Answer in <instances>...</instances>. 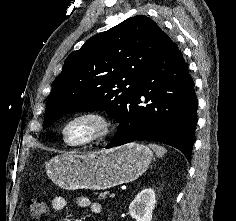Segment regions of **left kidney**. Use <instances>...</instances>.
Masks as SVG:
<instances>
[{
    "label": "left kidney",
    "instance_id": "left-kidney-1",
    "mask_svg": "<svg viewBox=\"0 0 236 221\" xmlns=\"http://www.w3.org/2000/svg\"><path fill=\"white\" fill-rule=\"evenodd\" d=\"M155 204V191L152 188H145L131 202L129 213L136 221H151Z\"/></svg>",
    "mask_w": 236,
    "mask_h": 221
}]
</instances>
